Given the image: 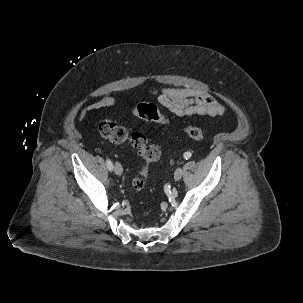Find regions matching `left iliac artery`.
Returning a JSON list of instances; mask_svg holds the SVG:
<instances>
[{"label": "left iliac artery", "mask_w": 303, "mask_h": 303, "mask_svg": "<svg viewBox=\"0 0 303 303\" xmlns=\"http://www.w3.org/2000/svg\"><path fill=\"white\" fill-rule=\"evenodd\" d=\"M192 156V154H191V152H185L184 153V158L187 160V159H189L190 157Z\"/></svg>", "instance_id": "1"}]
</instances>
